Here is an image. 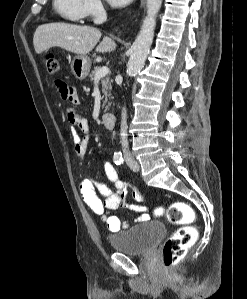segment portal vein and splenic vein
<instances>
[{
  "label": "portal vein and splenic vein",
  "instance_id": "portal-vein-and-splenic-vein-1",
  "mask_svg": "<svg viewBox=\"0 0 247 299\" xmlns=\"http://www.w3.org/2000/svg\"><path fill=\"white\" fill-rule=\"evenodd\" d=\"M108 73H109V69H108V67H107V66H102V67L99 69V71L97 72L95 79H96V80H97V79H100V78L106 76Z\"/></svg>",
  "mask_w": 247,
  "mask_h": 299
}]
</instances>
